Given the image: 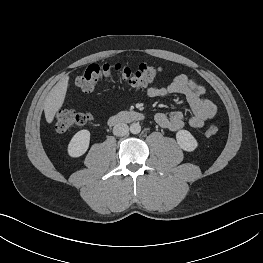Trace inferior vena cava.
<instances>
[{
	"instance_id": "obj_1",
	"label": "inferior vena cava",
	"mask_w": 263,
	"mask_h": 263,
	"mask_svg": "<svg viewBox=\"0 0 263 263\" xmlns=\"http://www.w3.org/2000/svg\"><path fill=\"white\" fill-rule=\"evenodd\" d=\"M129 132V127L125 123H118L113 128V134L116 136H125Z\"/></svg>"
}]
</instances>
